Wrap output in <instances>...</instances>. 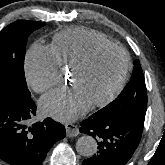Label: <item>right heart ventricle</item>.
Listing matches in <instances>:
<instances>
[{"instance_id":"1","label":"right heart ventricle","mask_w":165,"mask_h":165,"mask_svg":"<svg viewBox=\"0 0 165 165\" xmlns=\"http://www.w3.org/2000/svg\"><path fill=\"white\" fill-rule=\"evenodd\" d=\"M110 43L113 42L94 30L74 27L56 34L51 47L60 65L71 69L94 46Z\"/></svg>"}]
</instances>
